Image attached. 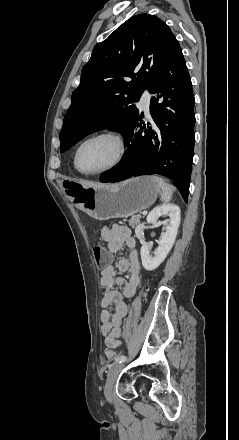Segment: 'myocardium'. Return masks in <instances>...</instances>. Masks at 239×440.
I'll return each instance as SVG.
<instances>
[{
    "instance_id": "f54148a6",
    "label": "myocardium",
    "mask_w": 239,
    "mask_h": 440,
    "mask_svg": "<svg viewBox=\"0 0 239 440\" xmlns=\"http://www.w3.org/2000/svg\"><path fill=\"white\" fill-rule=\"evenodd\" d=\"M110 138L112 140L115 141L117 148H118V153L117 156L114 160V162L101 170L95 171V172H85L83 170H81L80 166H79V155H80V151L82 149V147L88 143L91 140L94 139H98V138ZM127 153V143L125 138L117 131L114 130H100L97 132H94L90 135H88L87 137H85L78 145L76 152H75V156H74V165L76 167V169L78 170L79 173H81L82 175L85 176H99V175H104L107 173H110L112 171H114L115 169H117L121 163L123 162L125 156Z\"/></svg>"
}]
</instances>
